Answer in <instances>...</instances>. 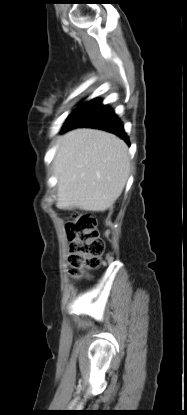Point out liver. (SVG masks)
I'll return each mask as SVG.
<instances>
[{
    "label": "liver",
    "mask_w": 187,
    "mask_h": 415,
    "mask_svg": "<svg viewBox=\"0 0 187 415\" xmlns=\"http://www.w3.org/2000/svg\"><path fill=\"white\" fill-rule=\"evenodd\" d=\"M53 168L59 209L103 212L125 187L130 172L128 146L104 131L75 129L60 137Z\"/></svg>",
    "instance_id": "1"
}]
</instances>
